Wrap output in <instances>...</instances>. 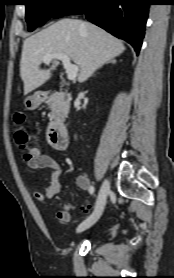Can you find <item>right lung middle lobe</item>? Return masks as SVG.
I'll return each mask as SVG.
<instances>
[{
  "mask_svg": "<svg viewBox=\"0 0 174 278\" xmlns=\"http://www.w3.org/2000/svg\"><path fill=\"white\" fill-rule=\"evenodd\" d=\"M29 31L43 24L50 17L66 15L79 0H24Z\"/></svg>",
  "mask_w": 174,
  "mask_h": 278,
  "instance_id": "right-lung-middle-lobe-1",
  "label": "right lung middle lobe"
}]
</instances>
